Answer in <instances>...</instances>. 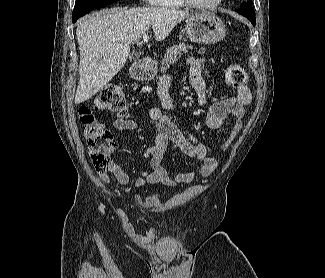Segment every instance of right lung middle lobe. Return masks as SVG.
<instances>
[{
    "instance_id": "dd1d6c3e",
    "label": "right lung middle lobe",
    "mask_w": 325,
    "mask_h": 278,
    "mask_svg": "<svg viewBox=\"0 0 325 278\" xmlns=\"http://www.w3.org/2000/svg\"><path fill=\"white\" fill-rule=\"evenodd\" d=\"M116 1L118 0H76L75 13L83 12L91 7H103Z\"/></svg>"
}]
</instances>
